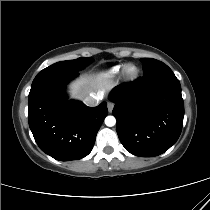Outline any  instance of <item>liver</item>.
<instances>
[{"label":"liver","instance_id":"liver-1","mask_svg":"<svg viewBox=\"0 0 210 210\" xmlns=\"http://www.w3.org/2000/svg\"><path fill=\"white\" fill-rule=\"evenodd\" d=\"M113 84L104 74L84 75L69 85L71 97L85 99L87 96L103 94Z\"/></svg>","mask_w":210,"mask_h":210}]
</instances>
